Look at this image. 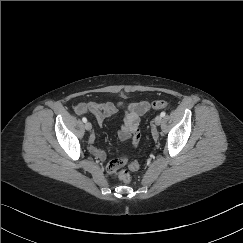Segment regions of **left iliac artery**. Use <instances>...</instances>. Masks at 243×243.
<instances>
[{"label": "left iliac artery", "mask_w": 243, "mask_h": 243, "mask_svg": "<svg viewBox=\"0 0 243 243\" xmlns=\"http://www.w3.org/2000/svg\"><path fill=\"white\" fill-rule=\"evenodd\" d=\"M165 115H166V113L164 111L161 112V114H160L161 117H164Z\"/></svg>", "instance_id": "left-iliac-artery-1"}]
</instances>
